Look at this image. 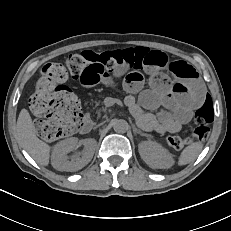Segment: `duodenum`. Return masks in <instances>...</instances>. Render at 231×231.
<instances>
[{
    "instance_id": "obj_1",
    "label": "duodenum",
    "mask_w": 231,
    "mask_h": 231,
    "mask_svg": "<svg viewBox=\"0 0 231 231\" xmlns=\"http://www.w3.org/2000/svg\"><path fill=\"white\" fill-rule=\"evenodd\" d=\"M92 127H93L92 119L89 117H86L80 126V132L82 134H86L92 129Z\"/></svg>"
}]
</instances>
